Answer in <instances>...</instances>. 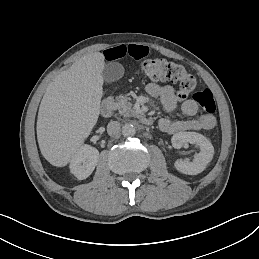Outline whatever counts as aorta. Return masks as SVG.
I'll list each match as a JSON object with an SVG mask.
<instances>
[{
    "instance_id": "aorta-1",
    "label": "aorta",
    "mask_w": 259,
    "mask_h": 259,
    "mask_svg": "<svg viewBox=\"0 0 259 259\" xmlns=\"http://www.w3.org/2000/svg\"><path fill=\"white\" fill-rule=\"evenodd\" d=\"M136 133L135 126L131 123H127L122 127V134L125 137H132Z\"/></svg>"
}]
</instances>
